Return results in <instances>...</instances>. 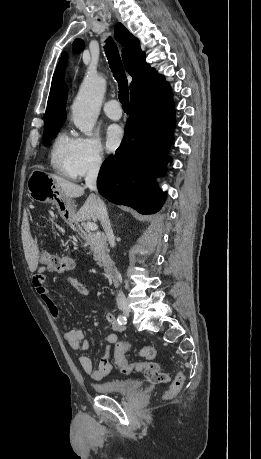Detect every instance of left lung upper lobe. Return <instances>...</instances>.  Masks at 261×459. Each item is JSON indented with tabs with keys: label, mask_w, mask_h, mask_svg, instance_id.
I'll use <instances>...</instances> for the list:
<instances>
[{
	"label": "left lung upper lobe",
	"mask_w": 261,
	"mask_h": 459,
	"mask_svg": "<svg viewBox=\"0 0 261 459\" xmlns=\"http://www.w3.org/2000/svg\"><path fill=\"white\" fill-rule=\"evenodd\" d=\"M73 51L79 53L81 51V40L76 39L73 43Z\"/></svg>",
	"instance_id": "obj_1"
}]
</instances>
